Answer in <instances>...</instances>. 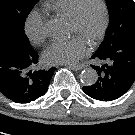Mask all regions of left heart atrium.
Instances as JSON below:
<instances>
[{
  "mask_svg": "<svg viewBox=\"0 0 135 135\" xmlns=\"http://www.w3.org/2000/svg\"><path fill=\"white\" fill-rule=\"evenodd\" d=\"M88 52V44L81 36L68 40L54 41L44 51V60L51 65H73L79 62Z\"/></svg>",
  "mask_w": 135,
  "mask_h": 135,
  "instance_id": "39dd6f15",
  "label": "left heart atrium"
}]
</instances>
